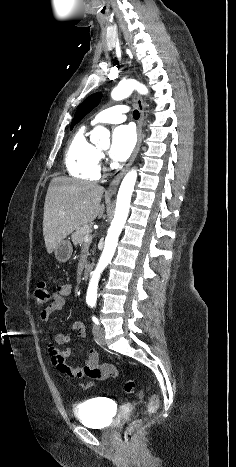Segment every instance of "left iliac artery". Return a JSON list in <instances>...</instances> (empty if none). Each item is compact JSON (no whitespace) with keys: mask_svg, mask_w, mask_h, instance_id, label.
<instances>
[{"mask_svg":"<svg viewBox=\"0 0 236 467\" xmlns=\"http://www.w3.org/2000/svg\"><path fill=\"white\" fill-rule=\"evenodd\" d=\"M90 306H91V307L95 306V303H90ZM92 320H93V322H94L95 324H97V325L99 324L98 319H97L95 316L92 317Z\"/></svg>","mask_w":236,"mask_h":467,"instance_id":"obj_1","label":"left iliac artery"}]
</instances>
